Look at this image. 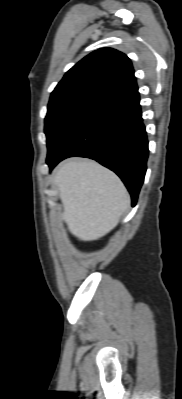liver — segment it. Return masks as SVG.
Here are the masks:
<instances>
[{"mask_svg":"<svg viewBox=\"0 0 182 399\" xmlns=\"http://www.w3.org/2000/svg\"><path fill=\"white\" fill-rule=\"evenodd\" d=\"M54 182L68 230L83 241L109 233L130 205V196L117 175L94 161H67L57 170Z\"/></svg>","mask_w":182,"mask_h":399,"instance_id":"6515ba94","label":"liver"}]
</instances>
